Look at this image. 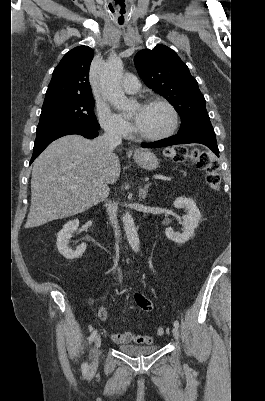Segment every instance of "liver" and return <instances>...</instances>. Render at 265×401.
<instances>
[{"label":"liver","instance_id":"1","mask_svg":"<svg viewBox=\"0 0 265 401\" xmlns=\"http://www.w3.org/2000/svg\"><path fill=\"white\" fill-rule=\"evenodd\" d=\"M113 150L102 136L87 140L68 134L51 142L33 162L25 229L79 215L104 201L105 184L116 182L121 172Z\"/></svg>","mask_w":265,"mask_h":401}]
</instances>
